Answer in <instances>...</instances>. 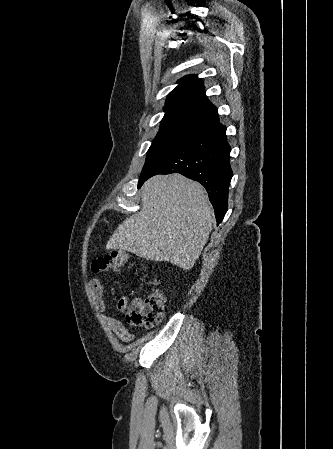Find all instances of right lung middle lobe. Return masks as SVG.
<instances>
[{"label":"right lung middle lobe","mask_w":333,"mask_h":449,"mask_svg":"<svg viewBox=\"0 0 333 449\" xmlns=\"http://www.w3.org/2000/svg\"><path fill=\"white\" fill-rule=\"evenodd\" d=\"M202 131L188 126L162 127L153 140L146 157L141 177L150 172L160 161L166 158L187 140Z\"/></svg>","instance_id":"1"}]
</instances>
